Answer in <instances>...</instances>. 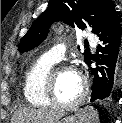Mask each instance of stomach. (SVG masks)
<instances>
[{"instance_id": "1", "label": "stomach", "mask_w": 122, "mask_h": 123, "mask_svg": "<svg viewBox=\"0 0 122 123\" xmlns=\"http://www.w3.org/2000/svg\"><path fill=\"white\" fill-rule=\"evenodd\" d=\"M86 116L82 112H78L74 115L64 116L57 120L55 123H87Z\"/></svg>"}]
</instances>
